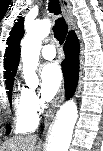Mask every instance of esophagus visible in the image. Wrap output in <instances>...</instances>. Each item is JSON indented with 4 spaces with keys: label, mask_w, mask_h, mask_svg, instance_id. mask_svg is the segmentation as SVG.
I'll return each instance as SVG.
<instances>
[{
    "label": "esophagus",
    "mask_w": 103,
    "mask_h": 151,
    "mask_svg": "<svg viewBox=\"0 0 103 151\" xmlns=\"http://www.w3.org/2000/svg\"><path fill=\"white\" fill-rule=\"evenodd\" d=\"M59 3H60L61 8L63 10V14H64V17L67 21L69 29L73 30L74 29V19H73V15H72V11H71V5L69 3V0H59ZM63 98H64V86H62L54 104L52 105V107L49 110L48 120L53 117L55 109L57 107H59V105L62 103ZM47 124H48V122H47Z\"/></svg>",
    "instance_id": "obj_1"
}]
</instances>
